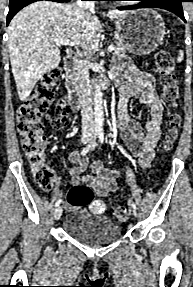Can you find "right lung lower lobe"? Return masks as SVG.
I'll use <instances>...</instances> for the list:
<instances>
[{"label": "right lung lower lobe", "instance_id": "obj_1", "mask_svg": "<svg viewBox=\"0 0 193 287\" xmlns=\"http://www.w3.org/2000/svg\"><path fill=\"white\" fill-rule=\"evenodd\" d=\"M40 0H10L9 3V12L7 15V25L11 21V19L14 17V15L21 10L23 7L36 2ZM49 1H54V2H59V3H68L71 0H49Z\"/></svg>", "mask_w": 193, "mask_h": 287}]
</instances>
